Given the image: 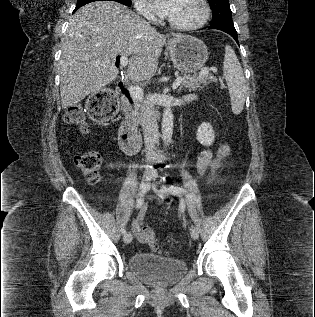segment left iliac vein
Here are the masks:
<instances>
[{"label": "left iliac vein", "instance_id": "obj_1", "mask_svg": "<svg viewBox=\"0 0 315 317\" xmlns=\"http://www.w3.org/2000/svg\"><path fill=\"white\" fill-rule=\"evenodd\" d=\"M153 190L155 193H157V195H159L160 197H166L168 196V191L166 190V188L164 186H161L160 189H157L155 185H153ZM190 234H191V237L194 239V240H197L198 237H199V231H198V228L194 225H191L190 226Z\"/></svg>", "mask_w": 315, "mask_h": 317}]
</instances>
